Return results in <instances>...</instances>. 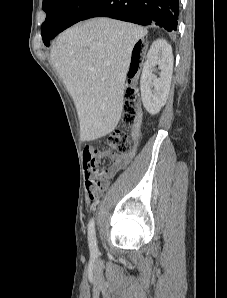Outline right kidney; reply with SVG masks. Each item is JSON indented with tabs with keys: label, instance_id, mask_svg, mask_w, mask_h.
<instances>
[{
	"label": "right kidney",
	"instance_id": "right-kidney-1",
	"mask_svg": "<svg viewBox=\"0 0 227 298\" xmlns=\"http://www.w3.org/2000/svg\"><path fill=\"white\" fill-rule=\"evenodd\" d=\"M173 54L171 45L164 39L154 41L148 51L140 80L141 99L145 109L157 114L166 103L173 72ZM158 65L159 77L153 72Z\"/></svg>",
	"mask_w": 227,
	"mask_h": 298
}]
</instances>
